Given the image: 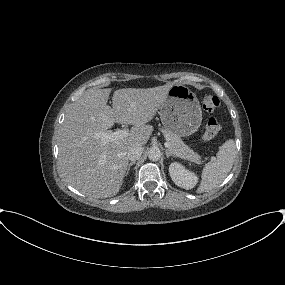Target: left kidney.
I'll return each mask as SVG.
<instances>
[{
	"label": "left kidney",
	"mask_w": 285,
	"mask_h": 285,
	"mask_svg": "<svg viewBox=\"0 0 285 285\" xmlns=\"http://www.w3.org/2000/svg\"><path fill=\"white\" fill-rule=\"evenodd\" d=\"M169 174L173 182L186 190L192 189L198 183V176L187 170L178 162H172L169 166Z\"/></svg>",
	"instance_id": "5707ae66"
}]
</instances>
